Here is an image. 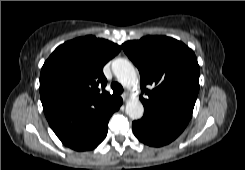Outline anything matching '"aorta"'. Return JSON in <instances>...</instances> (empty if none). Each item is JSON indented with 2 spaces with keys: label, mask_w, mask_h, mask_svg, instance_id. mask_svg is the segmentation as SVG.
Wrapping results in <instances>:
<instances>
[{
  "label": "aorta",
  "mask_w": 245,
  "mask_h": 170,
  "mask_svg": "<svg viewBox=\"0 0 245 170\" xmlns=\"http://www.w3.org/2000/svg\"><path fill=\"white\" fill-rule=\"evenodd\" d=\"M112 71L122 86L132 88L137 84V74L130 61L122 58L115 59L112 62ZM125 112L131 119H140L144 113L143 104L138 98H132L127 101Z\"/></svg>",
  "instance_id": "762f6f07"
}]
</instances>
